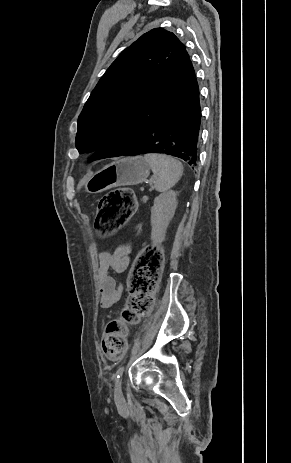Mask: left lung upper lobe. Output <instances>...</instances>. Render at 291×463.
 <instances>
[{"label":"left lung upper lobe","mask_w":291,"mask_h":463,"mask_svg":"<svg viewBox=\"0 0 291 463\" xmlns=\"http://www.w3.org/2000/svg\"><path fill=\"white\" fill-rule=\"evenodd\" d=\"M195 77L183 43L152 29L126 48L101 77L78 118L79 153L100 147L94 159L131 150L176 94Z\"/></svg>","instance_id":"1"}]
</instances>
